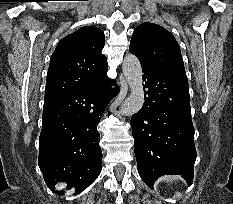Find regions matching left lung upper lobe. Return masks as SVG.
Masks as SVG:
<instances>
[{"label": "left lung upper lobe", "instance_id": "obj_1", "mask_svg": "<svg viewBox=\"0 0 233 204\" xmlns=\"http://www.w3.org/2000/svg\"><path fill=\"white\" fill-rule=\"evenodd\" d=\"M130 51L141 64L187 78L177 41L160 25L146 22L138 26L131 39Z\"/></svg>", "mask_w": 233, "mask_h": 204}]
</instances>
